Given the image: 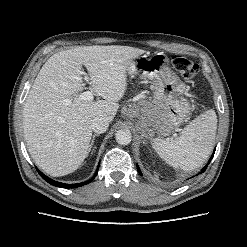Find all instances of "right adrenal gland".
<instances>
[{"label": "right adrenal gland", "mask_w": 247, "mask_h": 247, "mask_svg": "<svg viewBox=\"0 0 247 247\" xmlns=\"http://www.w3.org/2000/svg\"><path fill=\"white\" fill-rule=\"evenodd\" d=\"M96 136H99V134H94V135L92 136V141H91V144H90L89 151H91V149H92V147H93L94 140H95V137H96Z\"/></svg>", "instance_id": "1"}]
</instances>
